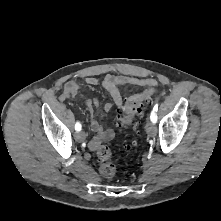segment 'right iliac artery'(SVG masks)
I'll return each mask as SVG.
<instances>
[{"instance_id": "1", "label": "right iliac artery", "mask_w": 221, "mask_h": 221, "mask_svg": "<svg viewBox=\"0 0 221 221\" xmlns=\"http://www.w3.org/2000/svg\"><path fill=\"white\" fill-rule=\"evenodd\" d=\"M75 130H76V131H80V130H81V124H80V122H76V124H75Z\"/></svg>"}]
</instances>
